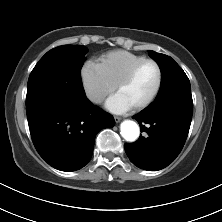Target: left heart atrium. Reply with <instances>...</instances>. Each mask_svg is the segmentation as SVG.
Returning <instances> with one entry per match:
<instances>
[{"mask_svg": "<svg viewBox=\"0 0 222 222\" xmlns=\"http://www.w3.org/2000/svg\"><path fill=\"white\" fill-rule=\"evenodd\" d=\"M105 107L116 114L125 113L133 108L132 104L119 92L114 93L107 99Z\"/></svg>", "mask_w": 222, "mask_h": 222, "instance_id": "obj_1", "label": "left heart atrium"}]
</instances>
